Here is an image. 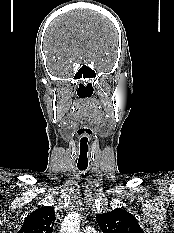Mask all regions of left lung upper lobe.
<instances>
[{"label":"left lung upper lobe","instance_id":"left-lung-upper-lobe-1","mask_svg":"<svg viewBox=\"0 0 174 233\" xmlns=\"http://www.w3.org/2000/svg\"><path fill=\"white\" fill-rule=\"evenodd\" d=\"M96 221L103 233H144L136 218L121 208L96 215Z\"/></svg>","mask_w":174,"mask_h":233}]
</instances>
